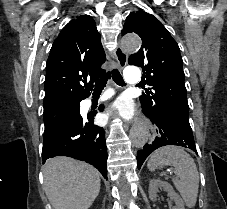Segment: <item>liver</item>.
<instances>
[{
	"label": "liver",
	"instance_id": "6515ba94",
	"mask_svg": "<svg viewBox=\"0 0 227 209\" xmlns=\"http://www.w3.org/2000/svg\"><path fill=\"white\" fill-rule=\"evenodd\" d=\"M97 169L70 157H56L44 165V191L53 209H89L100 193Z\"/></svg>",
	"mask_w": 227,
	"mask_h": 209
}]
</instances>
